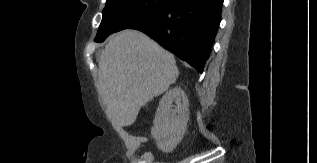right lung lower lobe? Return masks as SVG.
Masks as SVG:
<instances>
[{
	"instance_id": "1",
	"label": "right lung lower lobe",
	"mask_w": 317,
	"mask_h": 163,
	"mask_svg": "<svg viewBox=\"0 0 317 163\" xmlns=\"http://www.w3.org/2000/svg\"><path fill=\"white\" fill-rule=\"evenodd\" d=\"M222 4L223 0H170L129 29L144 32L202 73L220 23Z\"/></svg>"
}]
</instances>
